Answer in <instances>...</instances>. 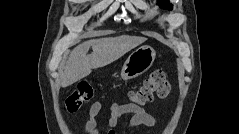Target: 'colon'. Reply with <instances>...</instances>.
Wrapping results in <instances>:
<instances>
[{
	"mask_svg": "<svg viewBox=\"0 0 239 134\" xmlns=\"http://www.w3.org/2000/svg\"><path fill=\"white\" fill-rule=\"evenodd\" d=\"M170 91V83L162 70H155L144 80L141 87L131 95V100L136 105H145L153 101L155 95L166 97ZM95 93L93 85L82 80L77 89L72 92L66 100V111L68 113L78 112Z\"/></svg>",
	"mask_w": 239,
	"mask_h": 134,
	"instance_id": "1",
	"label": "colon"
}]
</instances>
